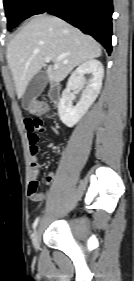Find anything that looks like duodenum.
Returning <instances> with one entry per match:
<instances>
[{
    "instance_id": "duodenum-1",
    "label": "duodenum",
    "mask_w": 134,
    "mask_h": 281,
    "mask_svg": "<svg viewBox=\"0 0 134 281\" xmlns=\"http://www.w3.org/2000/svg\"><path fill=\"white\" fill-rule=\"evenodd\" d=\"M60 90L61 87L59 84H54L49 90V99L52 103H57L60 99Z\"/></svg>"
}]
</instances>
